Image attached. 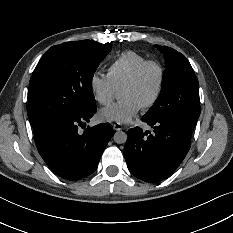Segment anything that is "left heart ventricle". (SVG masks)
<instances>
[{"label": "left heart ventricle", "mask_w": 233, "mask_h": 233, "mask_svg": "<svg viewBox=\"0 0 233 233\" xmlns=\"http://www.w3.org/2000/svg\"><path fill=\"white\" fill-rule=\"evenodd\" d=\"M159 77L160 73L156 66L148 67L134 86L121 88L120 98L131 97L142 105L146 104L156 92Z\"/></svg>", "instance_id": "obj_1"}]
</instances>
